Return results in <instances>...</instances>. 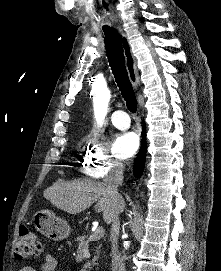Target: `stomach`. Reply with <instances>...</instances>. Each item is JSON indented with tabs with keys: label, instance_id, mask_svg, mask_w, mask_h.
I'll list each match as a JSON object with an SVG mask.
<instances>
[{
	"label": "stomach",
	"instance_id": "obj_1",
	"mask_svg": "<svg viewBox=\"0 0 221 271\" xmlns=\"http://www.w3.org/2000/svg\"><path fill=\"white\" fill-rule=\"evenodd\" d=\"M33 223L41 231L43 235L49 237V239H62V237H68L71 229L70 225L66 221H62L59 217H56L53 211L49 209H40L33 215Z\"/></svg>",
	"mask_w": 221,
	"mask_h": 271
}]
</instances>
